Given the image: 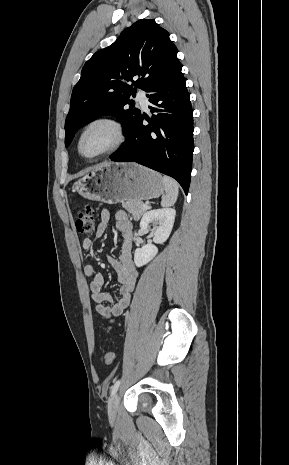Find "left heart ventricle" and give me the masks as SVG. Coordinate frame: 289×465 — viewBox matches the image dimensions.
<instances>
[{
    "label": "left heart ventricle",
    "instance_id": "b2bd125f",
    "mask_svg": "<svg viewBox=\"0 0 289 465\" xmlns=\"http://www.w3.org/2000/svg\"><path fill=\"white\" fill-rule=\"evenodd\" d=\"M115 133L107 125L98 124L91 127L81 141V151L84 155L91 156L103 151L113 144Z\"/></svg>",
    "mask_w": 289,
    "mask_h": 465
}]
</instances>
